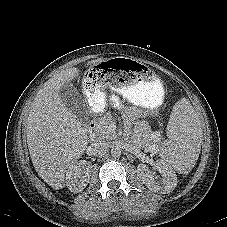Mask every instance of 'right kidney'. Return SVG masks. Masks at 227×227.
<instances>
[{
  "instance_id": "1",
  "label": "right kidney",
  "mask_w": 227,
  "mask_h": 227,
  "mask_svg": "<svg viewBox=\"0 0 227 227\" xmlns=\"http://www.w3.org/2000/svg\"><path fill=\"white\" fill-rule=\"evenodd\" d=\"M92 165L85 161L73 162L66 173V185L71 192H81L89 183Z\"/></svg>"
}]
</instances>
